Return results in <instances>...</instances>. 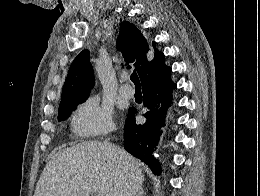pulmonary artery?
Wrapping results in <instances>:
<instances>
[{
  "label": "pulmonary artery",
  "mask_w": 260,
  "mask_h": 196,
  "mask_svg": "<svg viewBox=\"0 0 260 196\" xmlns=\"http://www.w3.org/2000/svg\"><path fill=\"white\" fill-rule=\"evenodd\" d=\"M120 95L125 98H132L134 96V89L129 85H124L120 88Z\"/></svg>",
  "instance_id": "pulmonary-artery-1"
}]
</instances>
